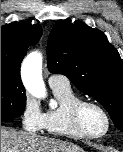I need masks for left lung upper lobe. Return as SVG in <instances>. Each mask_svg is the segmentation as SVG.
Listing matches in <instances>:
<instances>
[{
    "label": "left lung upper lobe",
    "instance_id": "left-lung-upper-lobe-1",
    "mask_svg": "<svg viewBox=\"0 0 123 152\" xmlns=\"http://www.w3.org/2000/svg\"><path fill=\"white\" fill-rule=\"evenodd\" d=\"M47 60L50 72L67 76L101 103L123 132V63L103 32L59 20L48 39Z\"/></svg>",
    "mask_w": 123,
    "mask_h": 152
}]
</instances>
